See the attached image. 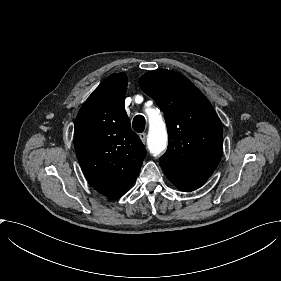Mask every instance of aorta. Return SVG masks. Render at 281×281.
I'll return each instance as SVG.
<instances>
[{"label":"aorta","instance_id":"1","mask_svg":"<svg viewBox=\"0 0 281 281\" xmlns=\"http://www.w3.org/2000/svg\"><path fill=\"white\" fill-rule=\"evenodd\" d=\"M149 133L147 145L150 152L157 156L167 147V131L163 118L156 112H148Z\"/></svg>","mask_w":281,"mask_h":281}]
</instances>
